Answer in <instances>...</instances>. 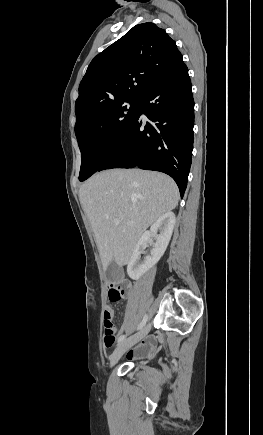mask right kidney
<instances>
[{
    "label": "right kidney",
    "instance_id": "ca27d5eb",
    "mask_svg": "<svg viewBox=\"0 0 263 435\" xmlns=\"http://www.w3.org/2000/svg\"><path fill=\"white\" fill-rule=\"evenodd\" d=\"M175 223V214L167 212L160 216L152 224L150 230L141 236L127 266V273L130 278L138 280L160 260L169 244ZM151 238L155 240L153 249L150 251V255L142 260L141 254L145 253V248Z\"/></svg>",
    "mask_w": 263,
    "mask_h": 435
}]
</instances>
